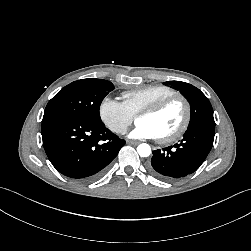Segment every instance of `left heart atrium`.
<instances>
[{
    "label": "left heart atrium",
    "mask_w": 251,
    "mask_h": 251,
    "mask_svg": "<svg viewBox=\"0 0 251 251\" xmlns=\"http://www.w3.org/2000/svg\"><path fill=\"white\" fill-rule=\"evenodd\" d=\"M133 139H155L158 138L155 130L145 123H137L133 130L128 135Z\"/></svg>",
    "instance_id": "left-heart-atrium-1"
}]
</instances>
